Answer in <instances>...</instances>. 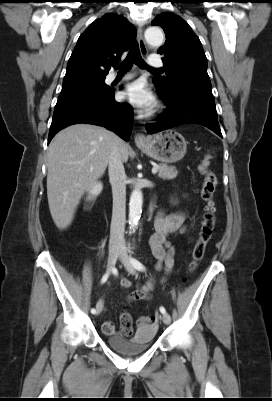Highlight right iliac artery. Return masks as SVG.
Listing matches in <instances>:
<instances>
[{"instance_id": "1", "label": "right iliac artery", "mask_w": 272, "mask_h": 401, "mask_svg": "<svg viewBox=\"0 0 272 401\" xmlns=\"http://www.w3.org/2000/svg\"><path fill=\"white\" fill-rule=\"evenodd\" d=\"M108 276H109L108 273H105V274L103 275V277H102V279H101V283H102V284L105 283V282L107 281ZM91 313L95 314V313H96V309H95V308H92V309H91Z\"/></svg>"}]
</instances>
